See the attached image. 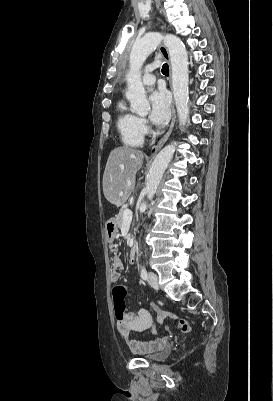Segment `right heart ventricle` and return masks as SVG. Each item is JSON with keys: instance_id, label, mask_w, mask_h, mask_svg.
<instances>
[{"instance_id": "right-heart-ventricle-1", "label": "right heart ventricle", "mask_w": 273, "mask_h": 401, "mask_svg": "<svg viewBox=\"0 0 273 401\" xmlns=\"http://www.w3.org/2000/svg\"><path fill=\"white\" fill-rule=\"evenodd\" d=\"M116 126L123 143L130 147H140L144 134L139 125V117L130 112L124 100L116 103Z\"/></svg>"}]
</instances>
